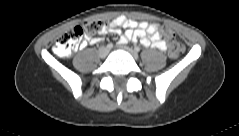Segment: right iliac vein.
Here are the masks:
<instances>
[{
	"label": "right iliac vein",
	"instance_id": "1",
	"mask_svg": "<svg viewBox=\"0 0 239 136\" xmlns=\"http://www.w3.org/2000/svg\"><path fill=\"white\" fill-rule=\"evenodd\" d=\"M108 53H109V50L106 47H101L98 50V56L102 59L105 58L108 55Z\"/></svg>",
	"mask_w": 239,
	"mask_h": 136
}]
</instances>
